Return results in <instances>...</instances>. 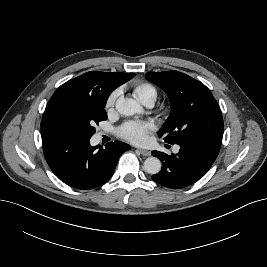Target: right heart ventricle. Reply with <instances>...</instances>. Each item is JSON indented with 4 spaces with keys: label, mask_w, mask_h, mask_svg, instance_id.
Instances as JSON below:
<instances>
[{
    "label": "right heart ventricle",
    "mask_w": 267,
    "mask_h": 267,
    "mask_svg": "<svg viewBox=\"0 0 267 267\" xmlns=\"http://www.w3.org/2000/svg\"><path fill=\"white\" fill-rule=\"evenodd\" d=\"M133 93L135 97L143 104L155 102L157 99V89L154 85L148 82H139L134 84Z\"/></svg>",
    "instance_id": "right-heart-ventricle-1"
}]
</instances>
